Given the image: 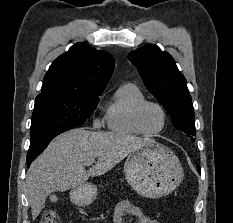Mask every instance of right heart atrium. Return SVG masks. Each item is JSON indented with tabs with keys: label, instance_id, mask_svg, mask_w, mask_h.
I'll list each match as a JSON object with an SVG mask.
<instances>
[{
	"label": "right heart atrium",
	"instance_id": "d8ad5b80",
	"mask_svg": "<svg viewBox=\"0 0 233 223\" xmlns=\"http://www.w3.org/2000/svg\"><path fill=\"white\" fill-rule=\"evenodd\" d=\"M101 125H102V122H101L100 118L97 115H95L93 117V126L98 129L101 127Z\"/></svg>",
	"mask_w": 233,
	"mask_h": 223
}]
</instances>
